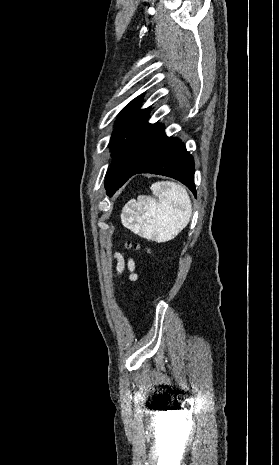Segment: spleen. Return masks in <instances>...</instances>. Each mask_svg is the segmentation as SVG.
<instances>
[{"mask_svg":"<svg viewBox=\"0 0 279 465\" xmlns=\"http://www.w3.org/2000/svg\"><path fill=\"white\" fill-rule=\"evenodd\" d=\"M150 189L157 198L139 196L123 208L121 222L139 236L166 242L177 236L189 223L192 203L186 189L174 182L161 181Z\"/></svg>","mask_w":279,"mask_h":465,"instance_id":"obj_1","label":"spleen"}]
</instances>
